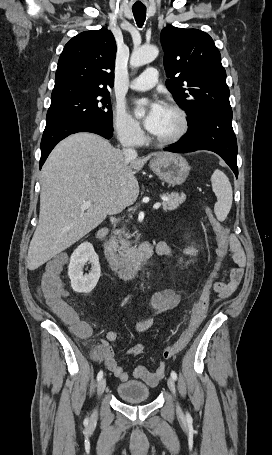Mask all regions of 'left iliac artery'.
I'll return each instance as SVG.
<instances>
[{
	"instance_id": "44dca946",
	"label": "left iliac artery",
	"mask_w": 272,
	"mask_h": 455,
	"mask_svg": "<svg viewBox=\"0 0 272 455\" xmlns=\"http://www.w3.org/2000/svg\"><path fill=\"white\" fill-rule=\"evenodd\" d=\"M171 377H172L174 380L177 379V374H176L175 371H172V372H171Z\"/></svg>"
}]
</instances>
